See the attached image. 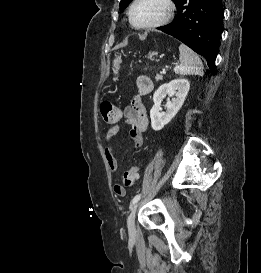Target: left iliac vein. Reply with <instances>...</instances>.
Segmentation results:
<instances>
[{
    "label": "left iliac vein",
    "mask_w": 261,
    "mask_h": 273,
    "mask_svg": "<svg viewBox=\"0 0 261 273\" xmlns=\"http://www.w3.org/2000/svg\"><path fill=\"white\" fill-rule=\"evenodd\" d=\"M140 206V203H137L131 210V213L128 216L127 219V227H128V232L131 236L136 234V227H135V217L137 213V209Z\"/></svg>",
    "instance_id": "4c4485c4"
}]
</instances>
